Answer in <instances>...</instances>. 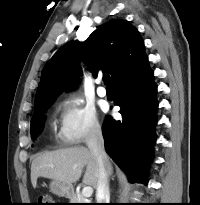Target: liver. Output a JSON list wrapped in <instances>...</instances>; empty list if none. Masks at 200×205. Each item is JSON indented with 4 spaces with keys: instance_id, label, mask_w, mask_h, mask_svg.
<instances>
[{
    "instance_id": "1",
    "label": "liver",
    "mask_w": 200,
    "mask_h": 205,
    "mask_svg": "<svg viewBox=\"0 0 200 205\" xmlns=\"http://www.w3.org/2000/svg\"><path fill=\"white\" fill-rule=\"evenodd\" d=\"M86 171L82 182L94 188L98 185V165L95 157L85 147H72L39 154L31 164V182L33 187L38 177L57 180L72 186ZM109 175L112 165L108 160Z\"/></svg>"
}]
</instances>
